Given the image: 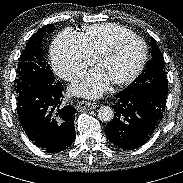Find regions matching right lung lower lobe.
Listing matches in <instances>:
<instances>
[{
    "mask_svg": "<svg viewBox=\"0 0 183 183\" xmlns=\"http://www.w3.org/2000/svg\"><path fill=\"white\" fill-rule=\"evenodd\" d=\"M62 92V84L53 81L27 86L17 95V113L26 135L52 153L67 149L76 135V110L63 104Z\"/></svg>",
    "mask_w": 183,
    "mask_h": 183,
    "instance_id": "right-lung-lower-lobe-1",
    "label": "right lung lower lobe"
}]
</instances>
